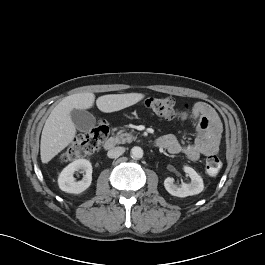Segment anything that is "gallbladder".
Here are the masks:
<instances>
[{
	"label": "gallbladder",
	"mask_w": 265,
	"mask_h": 265,
	"mask_svg": "<svg viewBox=\"0 0 265 265\" xmlns=\"http://www.w3.org/2000/svg\"><path fill=\"white\" fill-rule=\"evenodd\" d=\"M70 116L76 129L81 132H89L96 125V118L86 110L73 109Z\"/></svg>",
	"instance_id": "bac80fb5"
}]
</instances>
